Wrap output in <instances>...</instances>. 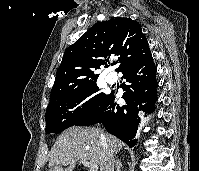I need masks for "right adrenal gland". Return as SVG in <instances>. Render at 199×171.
<instances>
[{"label": "right adrenal gland", "instance_id": "obj_1", "mask_svg": "<svg viewBox=\"0 0 199 171\" xmlns=\"http://www.w3.org/2000/svg\"><path fill=\"white\" fill-rule=\"evenodd\" d=\"M122 163L119 158L116 159V171H121Z\"/></svg>", "mask_w": 199, "mask_h": 171}]
</instances>
